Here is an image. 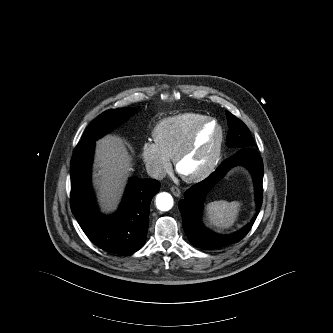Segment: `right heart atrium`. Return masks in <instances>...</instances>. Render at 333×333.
I'll list each match as a JSON object with an SVG mask.
<instances>
[{"mask_svg": "<svg viewBox=\"0 0 333 333\" xmlns=\"http://www.w3.org/2000/svg\"><path fill=\"white\" fill-rule=\"evenodd\" d=\"M142 158L147 170L155 178H162L171 169V160L153 142L143 143Z\"/></svg>", "mask_w": 333, "mask_h": 333, "instance_id": "d8ad5b80", "label": "right heart atrium"}]
</instances>
